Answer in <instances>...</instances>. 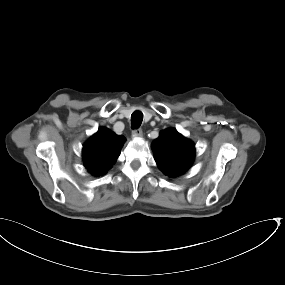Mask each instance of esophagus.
Wrapping results in <instances>:
<instances>
[{"instance_id":"esophagus-1","label":"esophagus","mask_w":285,"mask_h":285,"mask_svg":"<svg viewBox=\"0 0 285 285\" xmlns=\"http://www.w3.org/2000/svg\"><path fill=\"white\" fill-rule=\"evenodd\" d=\"M132 136L135 138H140L142 136V129L137 128L132 131Z\"/></svg>"}]
</instances>
